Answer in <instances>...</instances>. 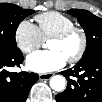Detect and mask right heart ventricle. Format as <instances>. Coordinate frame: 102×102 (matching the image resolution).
<instances>
[{"mask_svg": "<svg viewBox=\"0 0 102 102\" xmlns=\"http://www.w3.org/2000/svg\"><path fill=\"white\" fill-rule=\"evenodd\" d=\"M35 20L43 40L51 39L54 35L75 26L71 17L56 11L36 15Z\"/></svg>", "mask_w": 102, "mask_h": 102, "instance_id": "obj_1", "label": "right heart ventricle"}]
</instances>
